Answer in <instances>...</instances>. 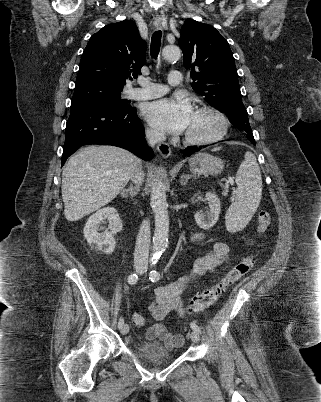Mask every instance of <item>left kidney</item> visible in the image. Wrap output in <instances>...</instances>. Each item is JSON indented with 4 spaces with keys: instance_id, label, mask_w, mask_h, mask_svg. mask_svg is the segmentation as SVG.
Wrapping results in <instances>:
<instances>
[{
    "instance_id": "left-kidney-1",
    "label": "left kidney",
    "mask_w": 321,
    "mask_h": 402,
    "mask_svg": "<svg viewBox=\"0 0 321 402\" xmlns=\"http://www.w3.org/2000/svg\"><path fill=\"white\" fill-rule=\"evenodd\" d=\"M206 200L208 201L209 207L207 212H197L194 217L197 225L207 230L213 227L219 219V214L221 211L220 200L217 195L213 192H207Z\"/></svg>"
}]
</instances>
